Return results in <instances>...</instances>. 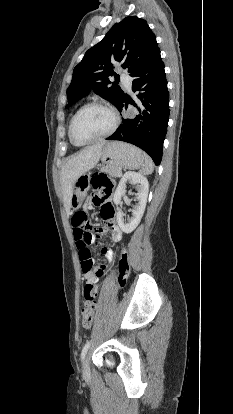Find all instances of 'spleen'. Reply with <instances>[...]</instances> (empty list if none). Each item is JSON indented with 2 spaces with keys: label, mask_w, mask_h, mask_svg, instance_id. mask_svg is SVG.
Listing matches in <instances>:
<instances>
[{
  "label": "spleen",
  "mask_w": 233,
  "mask_h": 414,
  "mask_svg": "<svg viewBox=\"0 0 233 414\" xmlns=\"http://www.w3.org/2000/svg\"><path fill=\"white\" fill-rule=\"evenodd\" d=\"M144 156V163L141 166V173L145 174V175H149L153 172L154 170V163L152 161V159L147 155V154H143Z\"/></svg>",
  "instance_id": "3e777b00"
}]
</instances>
